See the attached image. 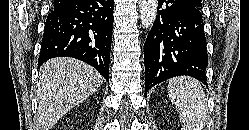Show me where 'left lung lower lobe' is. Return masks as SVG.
<instances>
[{
    "label": "left lung lower lobe",
    "mask_w": 249,
    "mask_h": 130,
    "mask_svg": "<svg viewBox=\"0 0 249 130\" xmlns=\"http://www.w3.org/2000/svg\"><path fill=\"white\" fill-rule=\"evenodd\" d=\"M144 63L145 93L181 75L206 84L208 56L201 8L187 0H159L144 44Z\"/></svg>",
    "instance_id": "1"
}]
</instances>
